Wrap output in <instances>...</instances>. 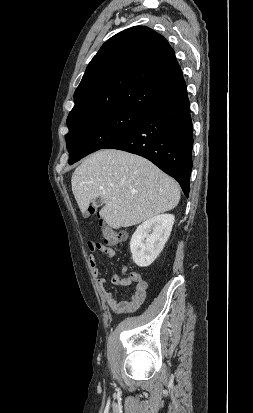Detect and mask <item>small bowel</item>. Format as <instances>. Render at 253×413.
Wrapping results in <instances>:
<instances>
[{"instance_id":"c3829d8e","label":"small bowel","mask_w":253,"mask_h":413,"mask_svg":"<svg viewBox=\"0 0 253 413\" xmlns=\"http://www.w3.org/2000/svg\"><path fill=\"white\" fill-rule=\"evenodd\" d=\"M88 249L92 253L89 256L91 272L97 279V285L102 298L108 307L116 314L137 311L146 299L148 289L147 282L141 279L137 274L125 275V268H123L122 274L114 273L110 278L100 277V270L94 253L101 252L105 254L110 264L114 265L112 258L115 256V251L113 248L100 242H89ZM109 282L116 286H129L132 283H135L131 297L129 299H118L112 292L105 289V285Z\"/></svg>"}]
</instances>
